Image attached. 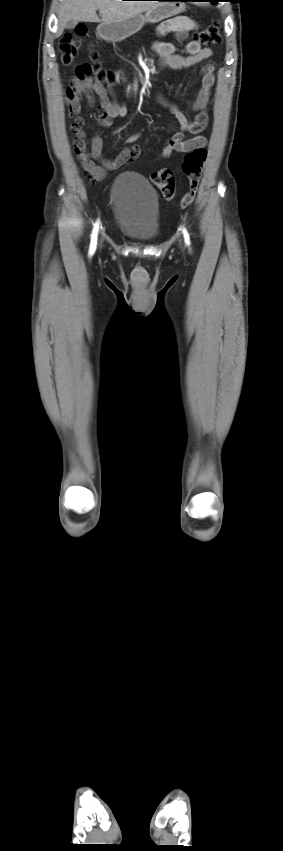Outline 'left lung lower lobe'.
Returning a JSON list of instances; mask_svg holds the SVG:
<instances>
[{
    "label": "left lung lower lobe",
    "mask_w": 283,
    "mask_h": 851,
    "mask_svg": "<svg viewBox=\"0 0 283 851\" xmlns=\"http://www.w3.org/2000/svg\"><path fill=\"white\" fill-rule=\"evenodd\" d=\"M169 1V0H168ZM179 1H204V0H179ZM209 2H216V0H207Z\"/></svg>",
    "instance_id": "1"
}]
</instances>
